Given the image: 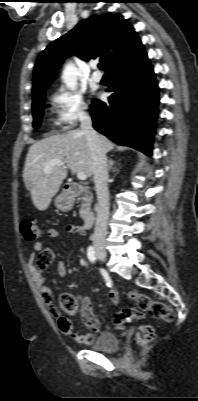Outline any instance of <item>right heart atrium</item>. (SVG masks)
Instances as JSON below:
<instances>
[{
	"instance_id": "1",
	"label": "right heart atrium",
	"mask_w": 198,
	"mask_h": 401,
	"mask_svg": "<svg viewBox=\"0 0 198 401\" xmlns=\"http://www.w3.org/2000/svg\"><path fill=\"white\" fill-rule=\"evenodd\" d=\"M56 111V123L64 129L74 127L88 116V104L82 94L60 87L51 95Z\"/></svg>"
}]
</instances>
